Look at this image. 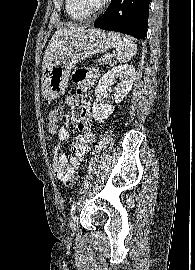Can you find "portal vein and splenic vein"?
<instances>
[{"instance_id": "18ae733b", "label": "portal vein and splenic vein", "mask_w": 195, "mask_h": 270, "mask_svg": "<svg viewBox=\"0 0 195 270\" xmlns=\"http://www.w3.org/2000/svg\"><path fill=\"white\" fill-rule=\"evenodd\" d=\"M106 56H107L108 58H111V57H112V55H111V54H107Z\"/></svg>"}]
</instances>
